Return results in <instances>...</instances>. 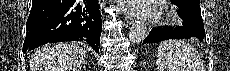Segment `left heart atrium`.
<instances>
[{
	"label": "left heart atrium",
	"instance_id": "obj_1",
	"mask_svg": "<svg viewBox=\"0 0 230 71\" xmlns=\"http://www.w3.org/2000/svg\"><path fill=\"white\" fill-rule=\"evenodd\" d=\"M126 5V9L135 14L147 15L151 12L152 1L150 0H132V1H124Z\"/></svg>",
	"mask_w": 230,
	"mask_h": 71
}]
</instances>
